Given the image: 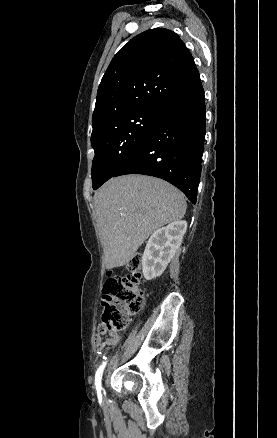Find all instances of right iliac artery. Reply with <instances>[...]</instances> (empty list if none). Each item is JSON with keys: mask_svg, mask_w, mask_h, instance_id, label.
Returning <instances> with one entry per match:
<instances>
[{"mask_svg": "<svg viewBox=\"0 0 277 438\" xmlns=\"http://www.w3.org/2000/svg\"><path fill=\"white\" fill-rule=\"evenodd\" d=\"M106 364H107V361L103 362V364L97 370L96 376H95V385H96V390H97V394H98L99 399H101V390H102L101 377H102V373H103V370H104Z\"/></svg>", "mask_w": 277, "mask_h": 438, "instance_id": "obj_1", "label": "right iliac artery"}]
</instances>
